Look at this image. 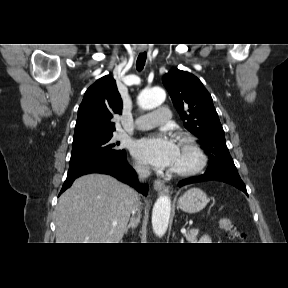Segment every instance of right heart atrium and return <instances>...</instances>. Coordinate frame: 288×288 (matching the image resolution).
<instances>
[{"mask_svg":"<svg viewBox=\"0 0 288 288\" xmlns=\"http://www.w3.org/2000/svg\"><path fill=\"white\" fill-rule=\"evenodd\" d=\"M136 168H137V170H139L141 172H145L146 171V167L143 164H141V163H137L136 164Z\"/></svg>","mask_w":288,"mask_h":288,"instance_id":"1","label":"right heart atrium"}]
</instances>
